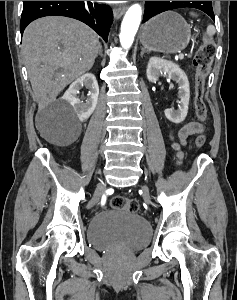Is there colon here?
I'll return each mask as SVG.
<instances>
[{
  "label": "colon",
  "instance_id": "5ec220e1",
  "mask_svg": "<svg viewBox=\"0 0 237 300\" xmlns=\"http://www.w3.org/2000/svg\"><path fill=\"white\" fill-rule=\"evenodd\" d=\"M216 54V45L209 35L203 37L202 44L197 49L193 64L196 68L195 84V108L199 120L204 123L207 118V107L204 102L205 81L210 72L211 64ZM206 141L205 133L202 131L195 139L197 148H201ZM111 206L115 209L135 213L139 209V203L135 199H128L123 196H115L111 200Z\"/></svg>",
  "mask_w": 237,
  "mask_h": 300
}]
</instances>
